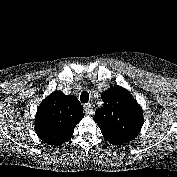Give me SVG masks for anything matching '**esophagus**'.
<instances>
[{"instance_id":"esophagus-1","label":"esophagus","mask_w":177,"mask_h":177,"mask_svg":"<svg viewBox=\"0 0 177 177\" xmlns=\"http://www.w3.org/2000/svg\"><path fill=\"white\" fill-rule=\"evenodd\" d=\"M84 113L88 115L94 114L93 106L89 103L83 105Z\"/></svg>"}]
</instances>
